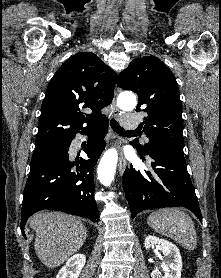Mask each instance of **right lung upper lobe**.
<instances>
[{"instance_id":"cb5924a9","label":"right lung upper lobe","mask_w":221,"mask_h":278,"mask_svg":"<svg viewBox=\"0 0 221 278\" xmlns=\"http://www.w3.org/2000/svg\"><path fill=\"white\" fill-rule=\"evenodd\" d=\"M115 83L116 73L95 54L81 52L69 58L46 89L35 146L66 140L107 119L101 109L111 103Z\"/></svg>"}]
</instances>
